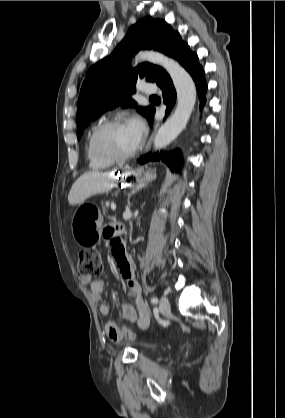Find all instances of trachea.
Listing matches in <instances>:
<instances>
[{
  "mask_svg": "<svg viewBox=\"0 0 285 418\" xmlns=\"http://www.w3.org/2000/svg\"><path fill=\"white\" fill-rule=\"evenodd\" d=\"M156 96H151V98H155Z\"/></svg>",
  "mask_w": 285,
  "mask_h": 418,
  "instance_id": "obj_1",
  "label": "trachea"
}]
</instances>
